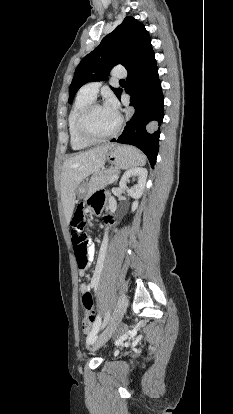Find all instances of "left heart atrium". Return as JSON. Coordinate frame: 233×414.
I'll list each match as a JSON object with an SVG mask.
<instances>
[{"label":"left heart atrium","instance_id":"obj_1","mask_svg":"<svg viewBox=\"0 0 233 414\" xmlns=\"http://www.w3.org/2000/svg\"><path fill=\"white\" fill-rule=\"evenodd\" d=\"M105 108L108 109L111 113L118 116V104L114 98H109L106 101Z\"/></svg>","mask_w":233,"mask_h":414}]
</instances>
